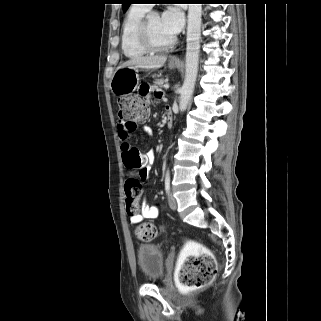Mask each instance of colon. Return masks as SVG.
Segmentation results:
<instances>
[{"instance_id":"1","label":"colon","mask_w":321,"mask_h":321,"mask_svg":"<svg viewBox=\"0 0 321 321\" xmlns=\"http://www.w3.org/2000/svg\"><path fill=\"white\" fill-rule=\"evenodd\" d=\"M118 117L129 129L135 130L144 123L149 116V108L143 103L141 97L130 95L119 99ZM145 161L136 151L131 153L125 166L130 170L141 169ZM126 210L129 215L136 214L139 210L142 188L135 178H129L125 182ZM136 236L142 241L153 240L157 236V229L151 223H143L136 227ZM217 273V263L214 255L204 245L186 240L184 254L180 262L178 277L184 288L197 289L208 285Z\"/></svg>"}]
</instances>
